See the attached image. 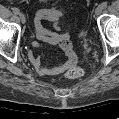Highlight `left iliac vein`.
<instances>
[{
  "label": "left iliac vein",
  "instance_id": "obj_1",
  "mask_svg": "<svg viewBox=\"0 0 119 119\" xmlns=\"http://www.w3.org/2000/svg\"><path fill=\"white\" fill-rule=\"evenodd\" d=\"M103 11V7L101 5H99L96 9H95V15L98 16L102 13Z\"/></svg>",
  "mask_w": 119,
  "mask_h": 119
}]
</instances>
